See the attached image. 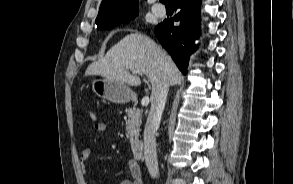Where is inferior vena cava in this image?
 <instances>
[{"mask_svg": "<svg viewBox=\"0 0 293 184\" xmlns=\"http://www.w3.org/2000/svg\"><path fill=\"white\" fill-rule=\"evenodd\" d=\"M168 90L169 85L164 82L151 95V108L144 129V159L149 174L153 178L158 176L155 133L160 125Z\"/></svg>", "mask_w": 293, "mask_h": 184, "instance_id": "obj_1", "label": "inferior vena cava"}]
</instances>
